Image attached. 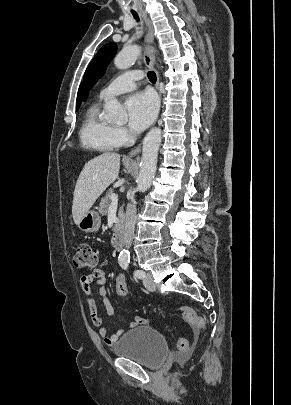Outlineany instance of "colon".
Masks as SVG:
<instances>
[{"label": "colon", "mask_w": 291, "mask_h": 405, "mask_svg": "<svg viewBox=\"0 0 291 405\" xmlns=\"http://www.w3.org/2000/svg\"><path fill=\"white\" fill-rule=\"evenodd\" d=\"M73 263L78 269H95L97 266L96 253L88 243H79L76 246ZM115 291L120 297H125L127 295V283L123 274H118L116 277ZM180 310L184 319L190 325L204 333L207 331L206 320L199 316L194 309L188 306H182ZM176 347L180 351H185L188 348L187 339L179 338L176 342Z\"/></svg>", "instance_id": "colon-1"}]
</instances>
